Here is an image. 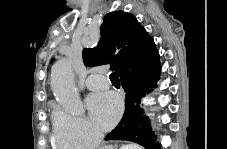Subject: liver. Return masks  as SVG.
Masks as SVG:
<instances>
[{
    "label": "liver",
    "mask_w": 227,
    "mask_h": 149,
    "mask_svg": "<svg viewBox=\"0 0 227 149\" xmlns=\"http://www.w3.org/2000/svg\"><path fill=\"white\" fill-rule=\"evenodd\" d=\"M134 149H141L140 146L138 145H133ZM103 149H115L112 145H109V146H105L103 147Z\"/></svg>",
    "instance_id": "6515ba94"
}]
</instances>
